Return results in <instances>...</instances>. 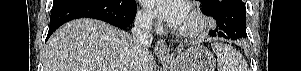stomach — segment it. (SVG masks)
I'll list each match as a JSON object with an SVG mask.
<instances>
[{"label": "stomach", "mask_w": 301, "mask_h": 71, "mask_svg": "<svg viewBox=\"0 0 301 71\" xmlns=\"http://www.w3.org/2000/svg\"><path fill=\"white\" fill-rule=\"evenodd\" d=\"M170 71H214L216 60L213 54L202 46H193L179 53L171 60L161 59Z\"/></svg>", "instance_id": "0dacf381"}]
</instances>
